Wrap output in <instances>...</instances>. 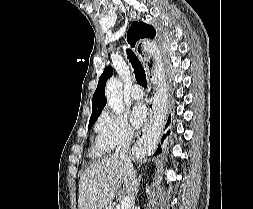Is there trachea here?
Returning <instances> with one entry per match:
<instances>
[{
	"instance_id": "obj_1",
	"label": "trachea",
	"mask_w": 253,
	"mask_h": 209,
	"mask_svg": "<svg viewBox=\"0 0 253 209\" xmlns=\"http://www.w3.org/2000/svg\"><path fill=\"white\" fill-rule=\"evenodd\" d=\"M127 55H128L129 61L133 65L137 83L143 86L144 88H146L147 87L146 74L141 63L139 62L135 54L130 49H127Z\"/></svg>"
}]
</instances>
